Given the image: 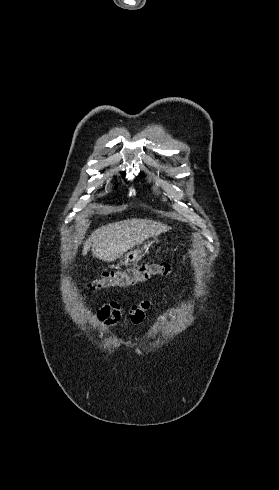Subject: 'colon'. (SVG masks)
I'll return each instance as SVG.
<instances>
[{
	"label": "colon",
	"instance_id": "obj_1",
	"mask_svg": "<svg viewBox=\"0 0 279 490\" xmlns=\"http://www.w3.org/2000/svg\"><path fill=\"white\" fill-rule=\"evenodd\" d=\"M166 262H145L127 270H110L91 283L90 289H124L139 285L155 276H167L173 272Z\"/></svg>",
	"mask_w": 279,
	"mask_h": 490
}]
</instances>
